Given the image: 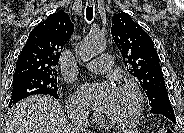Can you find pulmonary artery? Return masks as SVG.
I'll return each mask as SVG.
<instances>
[{"mask_svg":"<svg viewBox=\"0 0 184 133\" xmlns=\"http://www.w3.org/2000/svg\"><path fill=\"white\" fill-rule=\"evenodd\" d=\"M113 57L110 54H101L97 59L86 64V68L93 73H105L111 70Z\"/></svg>","mask_w":184,"mask_h":133,"instance_id":"pulmonary-artery-1","label":"pulmonary artery"}]
</instances>
